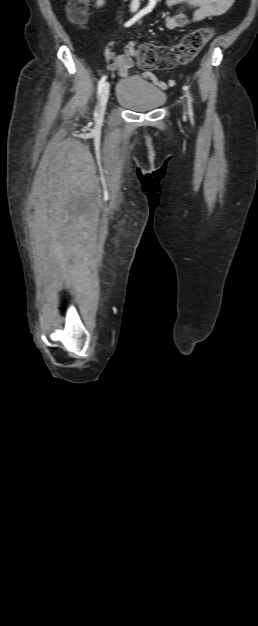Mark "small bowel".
Segmentation results:
<instances>
[{"mask_svg": "<svg viewBox=\"0 0 258 626\" xmlns=\"http://www.w3.org/2000/svg\"><path fill=\"white\" fill-rule=\"evenodd\" d=\"M234 2L235 0H165L167 9H172L174 6H179L181 9H194L191 16L186 15L183 11L169 16L166 20V27L170 30L185 29L193 23L226 13L233 6ZM105 58L109 63L110 70L117 71L121 76H126L131 65V57L128 51L117 53L113 50L112 44H109L105 50ZM143 77L151 80L162 90L176 84L172 79L165 82L148 71L143 73Z\"/></svg>", "mask_w": 258, "mask_h": 626, "instance_id": "obj_1", "label": "small bowel"}]
</instances>
